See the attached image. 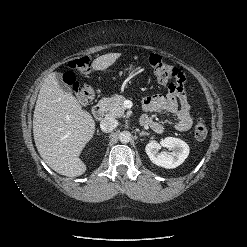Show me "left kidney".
<instances>
[{
	"instance_id": "1",
	"label": "left kidney",
	"mask_w": 247,
	"mask_h": 247,
	"mask_svg": "<svg viewBox=\"0 0 247 247\" xmlns=\"http://www.w3.org/2000/svg\"><path fill=\"white\" fill-rule=\"evenodd\" d=\"M161 147H166L171 152H161ZM146 154L151 162L157 166L173 169L181 165L189 155V146L181 139L166 137L158 142H150L145 147Z\"/></svg>"
}]
</instances>
